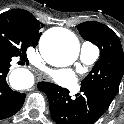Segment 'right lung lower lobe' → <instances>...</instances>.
Instances as JSON below:
<instances>
[{"label":"right lung lower lobe","instance_id":"1","mask_svg":"<svg viewBox=\"0 0 124 124\" xmlns=\"http://www.w3.org/2000/svg\"><path fill=\"white\" fill-rule=\"evenodd\" d=\"M11 57L0 54V120L17 113L25 100V94L13 91L7 84Z\"/></svg>","mask_w":124,"mask_h":124}]
</instances>
